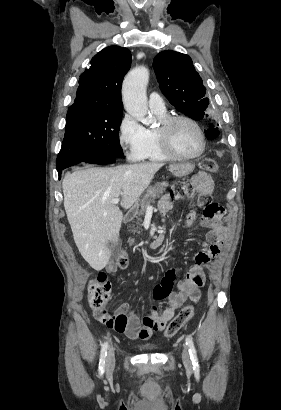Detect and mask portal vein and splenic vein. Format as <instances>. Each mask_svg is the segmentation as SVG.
Wrapping results in <instances>:
<instances>
[{
    "mask_svg": "<svg viewBox=\"0 0 281 410\" xmlns=\"http://www.w3.org/2000/svg\"><path fill=\"white\" fill-rule=\"evenodd\" d=\"M119 201H120V198L118 197V198L113 199V200H112V203H113V204H118ZM148 207H150V205H148Z\"/></svg>",
    "mask_w": 281,
    "mask_h": 410,
    "instance_id": "1",
    "label": "portal vein and splenic vein"
}]
</instances>
